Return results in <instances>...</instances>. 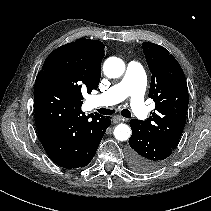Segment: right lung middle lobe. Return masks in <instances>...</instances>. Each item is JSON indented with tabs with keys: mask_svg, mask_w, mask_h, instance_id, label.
Here are the masks:
<instances>
[{
	"mask_svg": "<svg viewBox=\"0 0 211 211\" xmlns=\"http://www.w3.org/2000/svg\"><path fill=\"white\" fill-rule=\"evenodd\" d=\"M36 79L46 80L72 92L79 100L83 99L82 92L91 93L89 87L75 64L66 53L53 51L45 60L42 70Z\"/></svg>",
	"mask_w": 211,
	"mask_h": 211,
	"instance_id": "obj_1",
	"label": "right lung middle lobe"
}]
</instances>
